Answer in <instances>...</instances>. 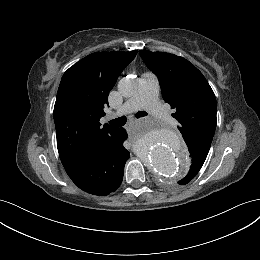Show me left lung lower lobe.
Segmentation results:
<instances>
[{"mask_svg": "<svg viewBox=\"0 0 260 260\" xmlns=\"http://www.w3.org/2000/svg\"><path fill=\"white\" fill-rule=\"evenodd\" d=\"M190 157H191L190 170H189L188 174L186 175V177L178 182V184H180V185H185V184L189 183L199 172V170L201 169V167L205 161V160L203 161V158H201L200 155L195 152L190 153Z\"/></svg>", "mask_w": 260, "mask_h": 260, "instance_id": "left-lung-lower-lobe-1", "label": "left lung lower lobe"}]
</instances>
